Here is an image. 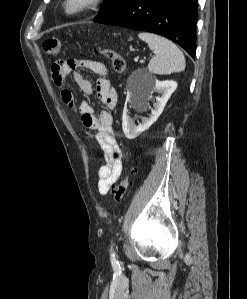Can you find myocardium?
Wrapping results in <instances>:
<instances>
[{
	"mask_svg": "<svg viewBox=\"0 0 247 299\" xmlns=\"http://www.w3.org/2000/svg\"><path fill=\"white\" fill-rule=\"evenodd\" d=\"M101 0H62L61 8L65 15L74 16L97 6Z\"/></svg>",
	"mask_w": 247,
	"mask_h": 299,
	"instance_id": "obj_1",
	"label": "myocardium"
}]
</instances>
